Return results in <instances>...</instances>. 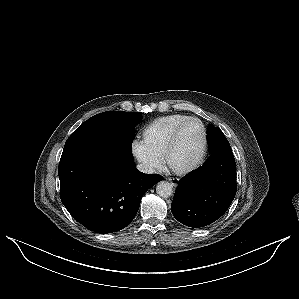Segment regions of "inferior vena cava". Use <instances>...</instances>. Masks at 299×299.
<instances>
[{"instance_id":"obj_1","label":"inferior vena cava","mask_w":299,"mask_h":299,"mask_svg":"<svg viewBox=\"0 0 299 299\" xmlns=\"http://www.w3.org/2000/svg\"><path fill=\"white\" fill-rule=\"evenodd\" d=\"M136 168H137L140 172H143V173H146V174H151V173L154 172L153 168H151L149 165L144 164V163L138 164V165L136 166Z\"/></svg>"}]
</instances>
